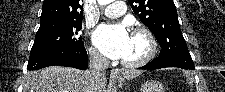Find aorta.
I'll use <instances>...</instances> for the list:
<instances>
[{
    "label": "aorta",
    "instance_id": "762f6f07",
    "mask_svg": "<svg viewBox=\"0 0 225 92\" xmlns=\"http://www.w3.org/2000/svg\"><path fill=\"white\" fill-rule=\"evenodd\" d=\"M112 0H98L99 4L100 5H105V4H108L110 3Z\"/></svg>",
    "mask_w": 225,
    "mask_h": 92
}]
</instances>
